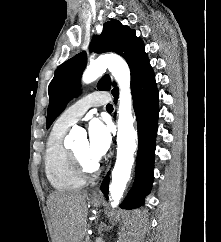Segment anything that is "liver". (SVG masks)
Listing matches in <instances>:
<instances>
[{
    "label": "liver",
    "instance_id": "liver-1",
    "mask_svg": "<svg viewBox=\"0 0 221 242\" xmlns=\"http://www.w3.org/2000/svg\"><path fill=\"white\" fill-rule=\"evenodd\" d=\"M88 193H52L47 205L53 226V242H81L86 232Z\"/></svg>",
    "mask_w": 221,
    "mask_h": 242
}]
</instances>
